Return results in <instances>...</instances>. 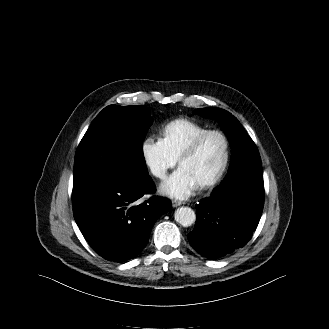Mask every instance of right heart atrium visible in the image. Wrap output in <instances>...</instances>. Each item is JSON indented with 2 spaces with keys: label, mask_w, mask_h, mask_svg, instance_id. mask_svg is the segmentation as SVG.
Masks as SVG:
<instances>
[{
  "label": "right heart atrium",
  "mask_w": 329,
  "mask_h": 329,
  "mask_svg": "<svg viewBox=\"0 0 329 329\" xmlns=\"http://www.w3.org/2000/svg\"><path fill=\"white\" fill-rule=\"evenodd\" d=\"M141 153L150 172L159 179L165 178L177 163L161 139L146 137L141 144Z\"/></svg>",
  "instance_id": "obj_1"
}]
</instances>
